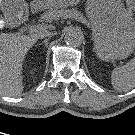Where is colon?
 <instances>
[{
	"mask_svg": "<svg viewBox=\"0 0 135 135\" xmlns=\"http://www.w3.org/2000/svg\"><path fill=\"white\" fill-rule=\"evenodd\" d=\"M126 9L131 15H135V0H126Z\"/></svg>",
	"mask_w": 135,
	"mask_h": 135,
	"instance_id": "obj_1",
	"label": "colon"
}]
</instances>
